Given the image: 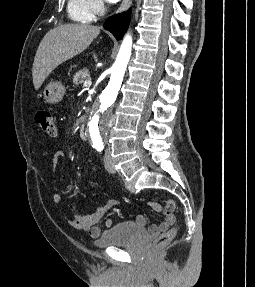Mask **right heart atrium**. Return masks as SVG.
I'll use <instances>...</instances> for the list:
<instances>
[{
    "label": "right heart atrium",
    "instance_id": "right-heart-atrium-1",
    "mask_svg": "<svg viewBox=\"0 0 255 287\" xmlns=\"http://www.w3.org/2000/svg\"><path fill=\"white\" fill-rule=\"evenodd\" d=\"M146 33H152V32H146ZM146 39H152V38H146Z\"/></svg>",
    "mask_w": 255,
    "mask_h": 287
}]
</instances>
